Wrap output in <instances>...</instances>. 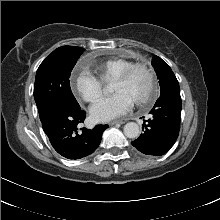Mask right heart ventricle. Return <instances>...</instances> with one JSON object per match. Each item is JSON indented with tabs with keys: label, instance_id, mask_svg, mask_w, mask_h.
Wrapping results in <instances>:
<instances>
[{
	"label": "right heart ventricle",
	"instance_id": "right-heart-ventricle-1",
	"mask_svg": "<svg viewBox=\"0 0 220 220\" xmlns=\"http://www.w3.org/2000/svg\"><path fill=\"white\" fill-rule=\"evenodd\" d=\"M134 63L127 58H112L105 60L95 67L98 76L104 81L115 80L125 69Z\"/></svg>",
	"mask_w": 220,
	"mask_h": 220
}]
</instances>
